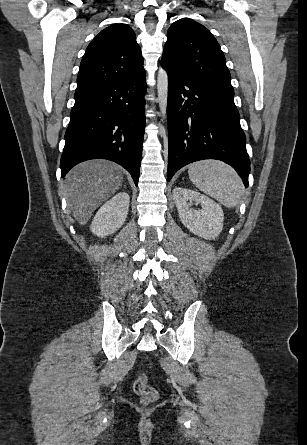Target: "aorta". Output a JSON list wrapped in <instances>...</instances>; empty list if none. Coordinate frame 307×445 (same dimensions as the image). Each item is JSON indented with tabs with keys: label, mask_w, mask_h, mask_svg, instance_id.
<instances>
[{
	"label": "aorta",
	"mask_w": 307,
	"mask_h": 445,
	"mask_svg": "<svg viewBox=\"0 0 307 445\" xmlns=\"http://www.w3.org/2000/svg\"><path fill=\"white\" fill-rule=\"evenodd\" d=\"M157 92L159 98V106L162 112V118H166L168 100V74L166 70H163V68H160V70H158Z\"/></svg>",
	"instance_id": "1"
}]
</instances>
